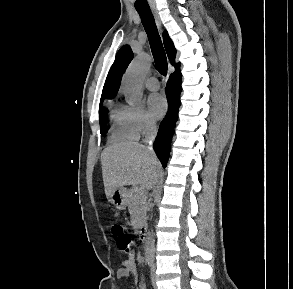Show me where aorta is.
<instances>
[{
  "instance_id": "762f6f07",
  "label": "aorta",
  "mask_w": 293,
  "mask_h": 289,
  "mask_svg": "<svg viewBox=\"0 0 293 289\" xmlns=\"http://www.w3.org/2000/svg\"><path fill=\"white\" fill-rule=\"evenodd\" d=\"M150 65L149 57L141 55L128 66L122 79V86L127 94L129 104L133 105L141 101L143 95L142 81L144 75L149 70ZM145 250L147 255H154L155 246L151 232H148L145 242Z\"/></svg>"
}]
</instances>
